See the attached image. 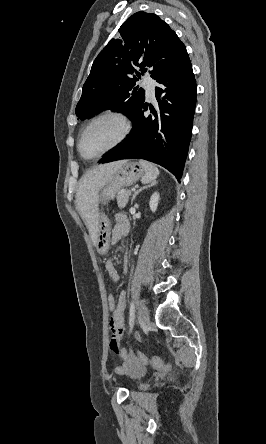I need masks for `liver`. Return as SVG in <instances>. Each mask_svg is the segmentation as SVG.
Here are the masks:
<instances>
[{
    "mask_svg": "<svg viewBox=\"0 0 266 444\" xmlns=\"http://www.w3.org/2000/svg\"><path fill=\"white\" fill-rule=\"evenodd\" d=\"M125 160L100 165L85 173L78 183L76 202L93 244L97 243L98 197L101 188L113 176Z\"/></svg>",
    "mask_w": 266,
    "mask_h": 444,
    "instance_id": "liver-1",
    "label": "liver"
}]
</instances>
